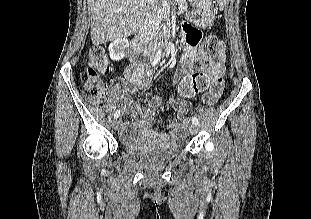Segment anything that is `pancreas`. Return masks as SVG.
<instances>
[{
    "label": "pancreas",
    "instance_id": "1",
    "mask_svg": "<svg viewBox=\"0 0 311 219\" xmlns=\"http://www.w3.org/2000/svg\"><path fill=\"white\" fill-rule=\"evenodd\" d=\"M177 3H178V6H179V11L181 13H183L184 11H187V2L186 0H176ZM163 7L162 9V15H163V18L166 19L167 21H169V17H170V6L168 4H162V5H158V7Z\"/></svg>",
    "mask_w": 311,
    "mask_h": 219
}]
</instances>
